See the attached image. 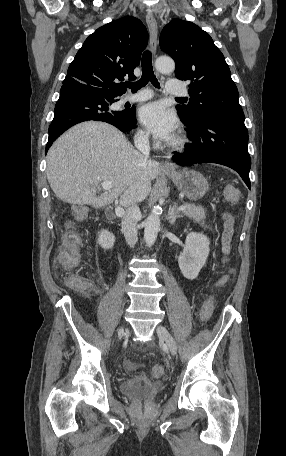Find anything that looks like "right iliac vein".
Masks as SVG:
<instances>
[{"label":"right iliac vein","instance_id":"right-iliac-vein-1","mask_svg":"<svg viewBox=\"0 0 286 456\" xmlns=\"http://www.w3.org/2000/svg\"><path fill=\"white\" fill-rule=\"evenodd\" d=\"M125 331H126L125 326L122 325L118 330V336L122 337L125 334Z\"/></svg>","mask_w":286,"mask_h":456}]
</instances>
